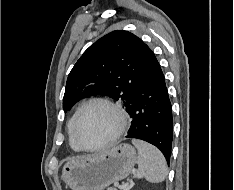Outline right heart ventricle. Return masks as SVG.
<instances>
[{
  "label": "right heart ventricle",
  "instance_id": "obj_1",
  "mask_svg": "<svg viewBox=\"0 0 234 190\" xmlns=\"http://www.w3.org/2000/svg\"><path fill=\"white\" fill-rule=\"evenodd\" d=\"M77 112H78V111H77ZM77 112H75V113L73 114V116L71 117V119H70L69 122H68V134H69V142H70L71 147H72L74 150L79 151L80 149L78 148V146L76 145V143L73 141L72 135H71V133H72V126H73V123H74V120H75V117H76Z\"/></svg>",
  "mask_w": 234,
  "mask_h": 190
}]
</instances>
